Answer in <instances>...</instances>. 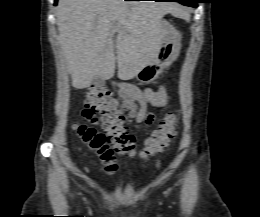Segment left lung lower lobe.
<instances>
[{
    "label": "left lung lower lobe",
    "mask_w": 260,
    "mask_h": 217,
    "mask_svg": "<svg viewBox=\"0 0 260 217\" xmlns=\"http://www.w3.org/2000/svg\"><path fill=\"white\" fill-rule=\"evenodd\" d=\"M155 1H175V2H181L184 3L186 6H191V7H197V3L200 2L199 0H155Z\"/></svg>",
    "instance_id": "1"
}]
</instances>
